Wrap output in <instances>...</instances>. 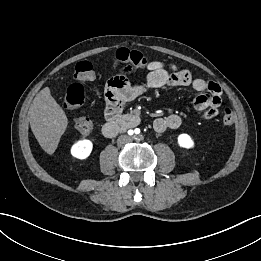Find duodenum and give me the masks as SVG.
Returning <instances> with one entry per match:
<instances>
[{
    "mask_svg": "<svg viewBox=\"0 0 261 261\" xmlns=\"http://www.w3.org/2000/svg\"><path fill=\"white\" fill-rule=\"evenodd\" d=\"M139 117L136 115H124L117 119L108 121L102 126V133L106 137H114L119 133L136 127Z\"/></svg>",
    "mask_w": 261,
    "mask_h": 261,
    "instance_id": "1",
    "label": "duodenum"
}]
</instances>
